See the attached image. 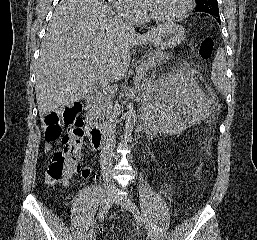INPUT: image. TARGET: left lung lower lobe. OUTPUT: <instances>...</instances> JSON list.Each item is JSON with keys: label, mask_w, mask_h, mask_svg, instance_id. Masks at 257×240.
Instances as JSON below:
<instances>
[{"label": "left lung lower lobe", "mask_w": 257, "mask_h": 240, "mask_svg": "<svg viewBox=\"0 0 257 240\" xmlns=\"http://www.w3.org/2000/svg\"><path fill=\"white\" fill-rule=\"evenodd\" d=\"M211 15H212V14H211ZM212 16L219 22V24L221 23L219 16H215V15H212Z\"/></svg>", "instance_id": "left-lung-lower-lobe-1"}]
</instances>
